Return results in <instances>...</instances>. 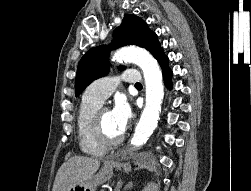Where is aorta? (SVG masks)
I'll return each instance as SVG.
<instances>
[{"instance_id":"aorta-1","label":"aorta","mask_w":251,"mask_h":191,"mask_svg":"<svg viewBox=\"0 0 251 191\" xmlns=\"http://www.w3.org/2000/svg\"><path fill=\"white\" fill-rule=\"evenodd\" d=\"M116 62L136 64L143 70L146 86V103L131 139L133 145H143L157 127L159 111L164 97L161 70L153 56L142 48H121L115 52Z\"/></svg>"}]
</instances>
